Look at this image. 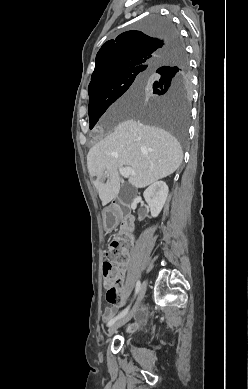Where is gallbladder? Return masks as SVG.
<instances>
[{
    "mask_svg": "<svg viewBox=\"0 0 248 389\" xmlns=\"http://www.w3.org/2000/svg\"><path fill=\"white\" fill-rule=\"evenodd\" d=\"M132 197V191L129 185L122 187L120 192V198L122 201H128Z\"/></svg>",
    "mask_w": 248,
    "mask_h": 389,
    "instance_id": "1",
    "label": "gallbladder"
}]
</instances>
